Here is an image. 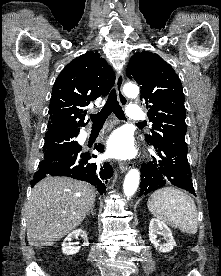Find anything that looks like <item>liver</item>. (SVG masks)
<instances>
[{"label":"liver","mask_w":221,"mask_h":276,"mask_svg":"<svg viewBox=\"0 0 221 276\" xmlns=\"http://www.w3.org/2000/svg\"><path fill=\"white\" fill-rule=\"evenodd\" d=\"M96 189L83 181L46 177L32 189L26 207L27 239L51 246L78 227L94 205Z\"/></svg>","instance_id":"1"}]
</instances>
